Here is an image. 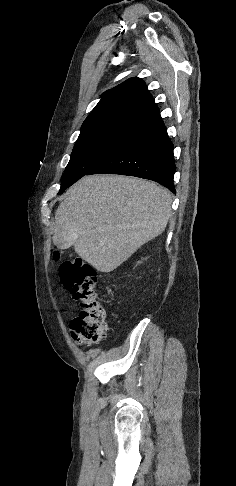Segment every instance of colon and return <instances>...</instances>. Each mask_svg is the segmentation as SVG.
<instances>
[{"label": "colon", "mask_w": 236, "mask_h": 486, "mask_svg": "<svg viewBox=\"0 0 236 486\" xmlns=\"http://www.w3.org/2000/svg\"><path fill=\"white\" fill-rule=\"evenodd\" d=\"M59 252L54 253L58 260ZM60 278L64 287L79 301L81 309L72 320L71 336L79 345L98 342L108 331L105 312L97 300L98 277L95 269L79 257L62 262Z\"/></svg>", "instance_id": "1"}]
</instances>
